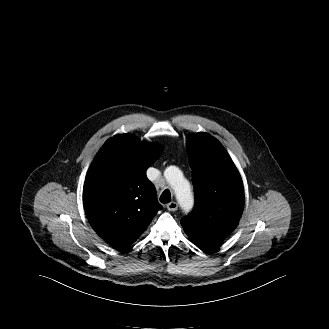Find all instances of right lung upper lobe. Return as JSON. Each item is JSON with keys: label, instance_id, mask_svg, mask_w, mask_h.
<instances>
[{"label": "right lung upper lobe", "instance_id": "obj_1", "mask_svg": "<svg viewBox=\"0 0 329 329\" xmlns=\"http://www.w3.org/2000/svg\"><path fill=\"white\" fill-rule=\"evenodd\" d=\"M159 145L133 135L110 138L92 162L83 187V204L95 232L112 247H129L161 209L146 170L160 156Z\"/></svg>", "mask_w": 329, "mask_h": 329}]
</instances>
